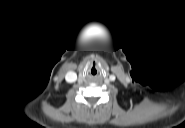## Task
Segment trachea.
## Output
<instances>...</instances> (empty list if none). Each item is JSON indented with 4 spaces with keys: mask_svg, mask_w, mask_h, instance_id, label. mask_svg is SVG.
<instances>
[{
    "mask_svg": "<svg viewBox=\"0 0 185 128\" xmlns=\"http://www.w3.org/2000/svg\"><path fill=\"white\" fill-rule=\"evenodd\" d=\"M97 73H98L97 67L92 66V68L90 70V74L95 76V75H97Z\"/></svg>",
    "mask_w": 185,
    "mask_h": 128,
    "instance_id": "3493384b",
    "label": "trachea"
}]
</instances>
